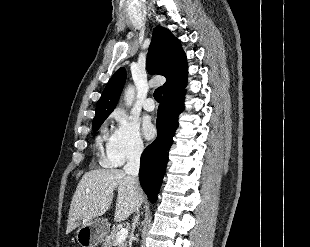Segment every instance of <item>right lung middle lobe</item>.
<instances>
[{"label":"right lung middle lobe","instance_id":"obj_1","mask_svg":"<svg viewBox=\"0 0 310 247\" xmlns=\"http://www.w3.org/2000/svg\"><path fill=\"white\" fill-rule=\"evenodd\" d=\"M106 118H107V117H101V118H99L98 120H96V121L93 122V124H92V129H93L94 132L97 131V130L100 128L101 124L104 122V120H105Z\"/></svg>","mask_w":310,"mask_h":247}]
</instances>
